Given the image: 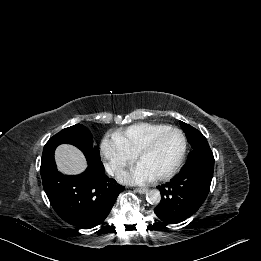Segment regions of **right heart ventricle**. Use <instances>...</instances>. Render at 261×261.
Segmentation results:
<instances>
[{
    "label": "right heart ventricle",
    "instance_id": "obj_1",
    "mask_svg": "<svg viewBox=\"0 0 261 261\" xmlns=\"http://www.w3.org/2000/svg\"><path fill=\"white\" fill-rule=\"evenodd\" d=\"M164 124L136 123L114 133L113 137L133 156L159 131L167 128Z\"/></svg>",
    "mask_w": 261,
    "mask_h": 261
}]
</instances>
